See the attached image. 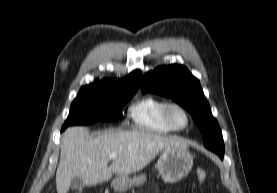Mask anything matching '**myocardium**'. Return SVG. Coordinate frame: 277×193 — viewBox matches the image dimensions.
I'll return each mask as SVG.
<instances>
[{
  "mask_svg": "<svg viewBox=\"0 0 277 193\" xmlns=\"http://www.w3.org/2000/svg\"><path fill=\"white\" fill-rule=\"evenodd\" d=\"M174 109L180 110L186 117V124L183 127H178L174 124L172 120L171 113ZM164 120L167 126L175 132L185 131L191 124V115L189 111L181 104L176 102L168 103L164 110Z\"/></svg>",
  "mask_w": 277,
  "mask_h": 193,
  "instance_id": "1",
  "label": "myocardium"
}]
</instances>
